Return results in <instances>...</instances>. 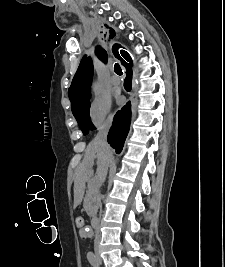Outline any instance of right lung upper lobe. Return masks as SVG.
Returning <instances> with one entry per match:
<instances>
[{
    "label": "right lung upper lobe",
    "mask_w": 225,
    "mask_h": 267,
    "mask_svg": "<svg viewBox=\"0 0 225 267\" xmlns=\"http://www.w3.org/2000/svg\"><path fill=\"white\" fill-rule=\"evenodd\" d=\"M110 38L115 36L114 30H110ZM115 46V45H114ZM114 46L112 51L114 52ZM95 54L97 57L106 62L107 53L100 47L96 48ZM125 67L129 66V63L122 62ZM93 77V65L90 57L84 56L80 62L76 74L74 75L71 86L68 90V95L71 100L72 106L83 99L89 92H91V83Z\"/></svg>",
    "instance_id": "cb5924a9"
}]
</instances>
